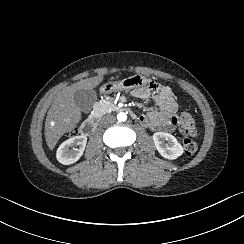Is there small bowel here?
I'll return each instance as SVG.
<instances>
[{"mask_svg": "<svg viewBox=\"0 0 244 244\" xmlns=\"http://www.w3.org/2000/svg\"><path fill=\"white\" fill-rule=\"evenodd\" d=\"M118 89H123L117 84ZM131 95L142 100L150 101L156 110L137 116V121L144 127H154L160 131H169L177 121L179 105L172 90L163 84H148L144 88L129 90Z\"/></svg>", "mask_w": 244, "mask_h": 244, "instance_id": "c3829d8e", "label": "small bowel"}]
</instances>
